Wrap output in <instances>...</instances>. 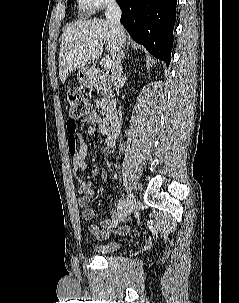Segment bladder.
<instances>
[{"mask_svg": "<svg viewBox=\"0 0 239 303\" xmlns=\"http://www.w3.org/2000/svg\"><path fill=\"white\" fill-rule=\"evenodd\" d=\"M121 248L120 243L96 244L93 249L100 255H110L117 252Z\"/></svg>", "mask_w": 239, "mask_h": 303, "instance_id": "obj_1", "label": "bladder"}]
</instances>
